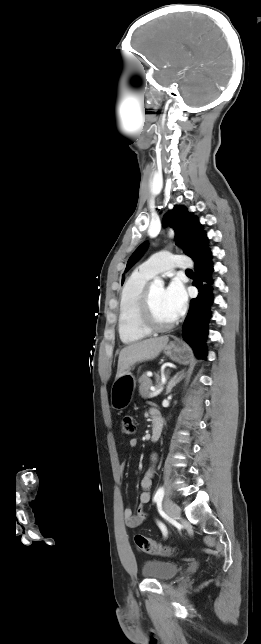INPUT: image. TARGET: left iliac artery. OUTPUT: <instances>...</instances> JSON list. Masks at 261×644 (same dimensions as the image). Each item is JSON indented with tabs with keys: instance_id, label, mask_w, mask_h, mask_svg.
<instances>
[{
	"instance_id": "left-iliac-artery-1",
	"label": "left iliac artery",
	"mask_w": 261,
	"mask_h": 644,
	"mask_svg": "<svg viewBox=\"0 0 261 644\" xmlns=\"http://www.w3.org/2000/svg\"><path fill=\"white\" fill-rule=\"evenodd\" d=\"M163 497H164V489H163V487H160L157 490V492L155 493L153 500L155 502H161ZM158 526L161 529L163 535L166 536L167 535V528L165 527V525L162 524L161 522H158Z\"/></svg>"
}]
</instances>
